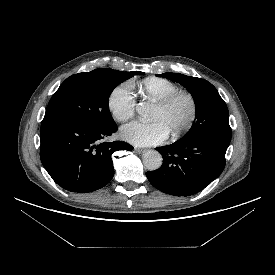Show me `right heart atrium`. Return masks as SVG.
I'll return each instance as SVG.
<instances>
[{
    "instance_id": "obj_1",
    "label": "right heart atrium",
    "mask_w": 275,
    "mask_h": 275,
    "mask_svg": "<svg viewBox=\"0 0 275 275\" xmlns=\"http://www.w3.org/2000/svg\"><path fill=\"white\" fill-rule=\"evenodd\" d=\"M136 105V94L131 81L117 85L108 97V108L118 122H126L131 119L135 114Z\"/></svg>"
}]
</instances>
